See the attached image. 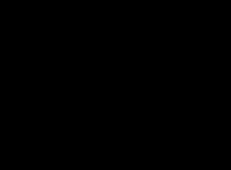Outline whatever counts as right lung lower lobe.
I'll list each match as a JSON object with an SVG mask.
<instances>
[{
  "label": "right lung lower lobe",
  "instance_id": "1",
  "mask_svg": "<svg viewBox=\"0 0 231 170\" xmlns=\"http://www.w3.org/2000/svg\"><path fill=\"white\" fill-rule=\"evenodd\" d=\"M75 39L65 27L45 33L28 58L22 87L24 110L38 140L66 160L79 158L89 146L79 140L83 116L76 99L83 74L71 56Z\"/></svg>",
  "mask_w": 231,
  "mask_h": 170
}]
</instances>
